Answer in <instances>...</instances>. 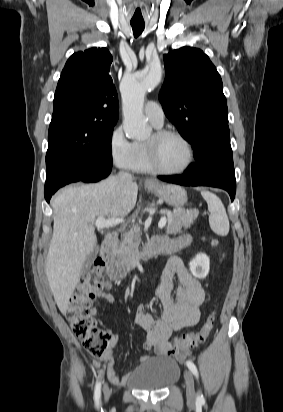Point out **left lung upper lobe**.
<instances>
[{
	"label": "left lung upper lobe",
	"mask_w": 283,
	"mask_h": 412,
	"mask_svg": "<svg viewBox=\"0 0 283 412\" xmlns=\"http://www.w3.org/2000/svg\"><path fill=\"white\" fill-rule=\"evenodd\" d=\"M166 78L159 100L169 120L191 144L194 157L228 158L235 176L227 101L215 66L200 49L183 47L163 56Z\"/></svg>",
	"instance_id": "obj_1"
}]
</instances>
